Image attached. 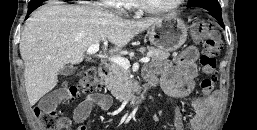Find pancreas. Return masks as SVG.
Listing matches in <instances>:
<instances>
[{
    "mask_svg": "<svg viewBox=\"0 0 257 130\" xmlns=\"http://www.w3.org/2000/svg\"><path fill=\"white\" fill-rule=\"evenodd\" d=\"M148 50L152 62H159L167 59L170 53L166 50L154 48V47H141L140 52ZM105 85L111 94L118 100H125L132 92L135 91L136 83L132 79L130 70L124 69L116 63H112L111 72L105 78Z\"/></svg>",
    "mask_w": 257,
    "mask_h": 130,
    "instance_id": "pancreas-1",
    "label": "pancreas"
}]
</instances>
